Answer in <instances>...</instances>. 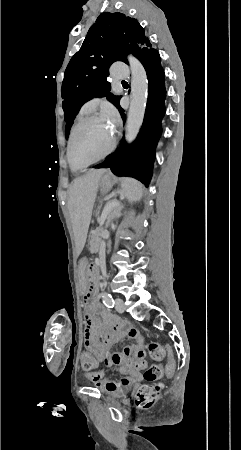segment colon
Masks as SVG:
<instances>
[{
	"instance_id": "colon-1",
	"label": "colon",
	"mask_w": 241,
	"mask_h": 450,
	"mask_svg": "<svg viewBox=\"0 0 241 450\" xmlns=\"http://www.w3.org/2000/svg\"><path fill=\"white\" fill-rule=\"evenodd\" d=\"M166 349L169 351L171 348L166 343L164 345ZM147 353L153 360H162L166 356L165 349L159 345L157 342H150L147 345ZM169 355L171 357H174L176 355V352L174 350H171L169 352ZM81 369L82 371H95L96 369V360L95 357H92L91 350H82L81 352ZM176 363V360L174 358H171L168 362L165 363V373L168 376L173 375L174 373V364ZM161 367L158 364H151L147 366L144 370L143 377L146 380H157L161 375ZM160 387L158 386H150V385H143L139 388V390L136 393L135 397V405L137 408L141 410H148L153 408L155 403L157 402V399L160 394Z\"/></svg>"
}]
</instances>
